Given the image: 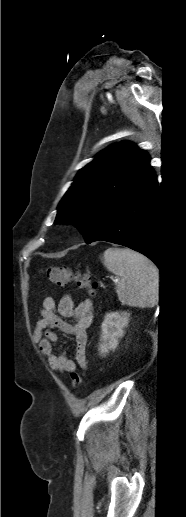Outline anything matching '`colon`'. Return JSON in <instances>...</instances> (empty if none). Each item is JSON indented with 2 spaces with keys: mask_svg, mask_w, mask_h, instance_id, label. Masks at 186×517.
Returning a JSON list of instances; mask_svg holds the SVG:
<instances>
[{
  "mask_svg": "<svg viewBox=\"0 0 186 517\" xmlns=\"http://www.w3.org/2000/svg\"><path fill=\"white\" fill-rule=\"evenodd\" d=\"M45 275L48 280L57 286H65L71 282H75L79 287L87 289L94 294L97 289V283L91 282L89 278L73 271L68 266H51L45 269ZM71 383L74 388H79L82 384V376L75 370L71 372Z\"/></svg>",
  "mask_w": 186,
  "mask_h": 517,
  "instance_id": "colon-1",
  "label": "colon"
}]
</instances>
